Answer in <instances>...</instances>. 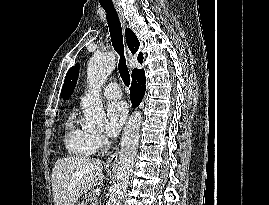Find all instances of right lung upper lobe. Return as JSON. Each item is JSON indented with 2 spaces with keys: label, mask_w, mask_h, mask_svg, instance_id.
Instances as JSON below:
<instances>
[{
  "label": "right lung upper lobe",
  "mask_w": 269,
  "mask_h": 205,
  "mask_svg": "<svg viewBox=\"0 0 269 205\" xmlns=\"http://www.w3.org/2000/svg\"><path fill=\"white\" fill-rule=\"evenodd\" d=\"M125 35H126L127 45L129 47L130 51L133 54L136 53L138 48H139V41H138L136 35L130 29H126ZM142 60H143V54L140 52L139 55H138V61L140 63H142ZM138 71H143V70L134 69L133 72H132V75H134Z\"/></svg>",
  "instance_id": "right-lung-upper-lobe-1"
}]
</instances>
